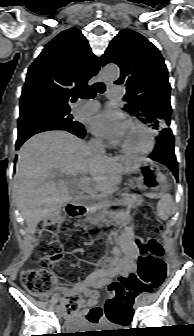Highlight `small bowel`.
I'll return each mask as SVG.
<instances>
[{"mask_svg": "<svg viewBox=\"0 0 194 336\" xmlns=\"http://www.w3.org/2000/svg\"><path fill=\"white\" fill-rule=\"evenodd\" d=\"M121 221H127L126 216H119ZM138 247L135 234L130 226H126L118 237L117 245L107 264L99 262L93 271L76 282L71 287H61L58 292L65 297L83 294L86 300L80 302L79 310L69 316L72 320L87 322L88 326L109 323L96 306L99 288L110 283L114 278L122 281L131 277L136 270ZM146 289V288H145ZM64 301V300H63ZM62 301V302H63Z\"/></svg>", "mask_w": 194, "mask_h": 336, "instance_id": "small-bowel-1", "label": "small bowel"}]
</instances>
